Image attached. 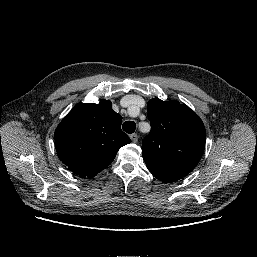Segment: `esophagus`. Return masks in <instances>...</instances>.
<instances>
[{"mask_svg":"<svg viewBox=\"0 0 257 257\" xmlns=\"http://www.w3.org/2000/svg\"><path fill=\"white\" fill-rule=\"evenodd\" d=\"M130 139L133 143H136L138 141V135L136 133H133L130 135Z\"/></svg>","mask_w":257,"mask_h":257,"instance_id":"obj_1","label":"esophagus"}]
</instances>
